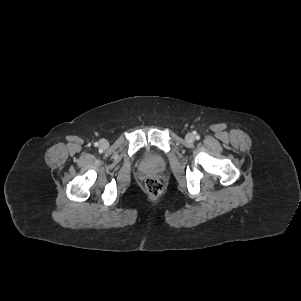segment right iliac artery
<instances>
[{"label": "right iliac artery", "mask_w": 301, "mask_h": 301, "mask_svg": "<svg viewBox=\"0 0 301 301\" xmlns=\"http://www.w3.org/2000/svg\"><path fill=\"white\" fill-rule=\"evenodd\" d=\"M98 145V143H95V146H97Z\"/></svg>", "instance_id": "obj_1"}]
</instances>
